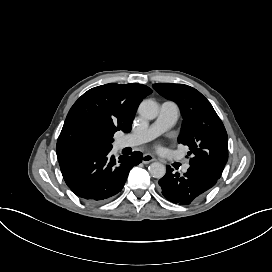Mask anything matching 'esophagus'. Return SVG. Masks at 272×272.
<instances>
[{
    "mask_svg": "<svg viewBox=\"0 0 272 272\" xmlns=\"http://www.w3.org/2000/svg\"><path fill=\"white\" fill-rule=\"evenodd\" d=\"M155 160H156L155 156H153L150 153L143 154V156H142V162L143 163H150V162H153Z\"/></svg>",
    "mask_w": 272,
    "mask_h": 272,
    "instance_id": "esophagus-1",
    "label": "esophagus"
}]
</instances>
